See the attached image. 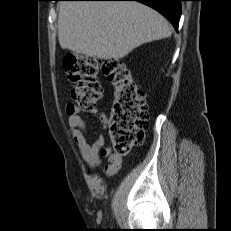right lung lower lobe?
Wrapping results in <instances>:
<instances>
[{"instance_id":"98d812e1","label":"right lung lower lobe","mask_w":231,"mask_h":231,"mask_svg":"<svg viewBox=\"0 0 231 231\" xmlns=\"http://www.w3.org/2000/svg\"><path fill=\"white\" fill-rule=\"evenodd\" d=\"M85 1H138L160 12L164 17H166L172 23L174 28L178 30V23L181 15L180 1L182 0H85Z\"/></svg>"}]
</instances>
